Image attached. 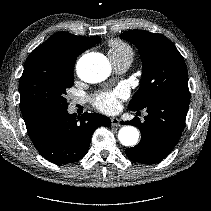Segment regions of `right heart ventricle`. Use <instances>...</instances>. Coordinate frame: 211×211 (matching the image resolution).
<instances>
[{
  "mask_svg": "<svg viewBox=\"0 0 211 211\" xmlns=\"http://www.w3.org/2000/svg\"><path fill=\"white\" fill-rule=\"evenodd\" d=\"M108 55L111 61L133 60V49L130 45L119 39H113L108 44Z\"/></svg>",
  "mask_w": 211,
  "mask_h": 211,
  "instance_id": "obj_1",
  "label": "right heart ventricle"
}]
</instances>
